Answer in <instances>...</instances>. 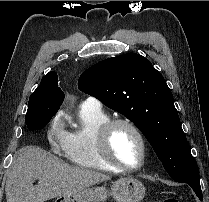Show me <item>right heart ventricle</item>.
<instances>
[{
	"label": "right heart ventricle",
	"instance_id": "obj_1",
	"mask_svg": "<svg viewBox=\"0 0 209 202\" xmlns=\"http://www.w3.org/2000/svg\"><path fill=\"white\" fill-rule=\"evenodd\" d=\"M80 127L68 133L64 158L74 165L86 169L115 172L101 157L96 138L101 126L109 117L101 109L81 108Z\"/></svg>",
	"mask_w": 209,
	"mask_h": 202
}]
</instances>
